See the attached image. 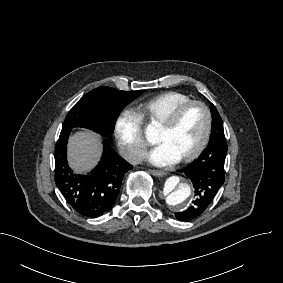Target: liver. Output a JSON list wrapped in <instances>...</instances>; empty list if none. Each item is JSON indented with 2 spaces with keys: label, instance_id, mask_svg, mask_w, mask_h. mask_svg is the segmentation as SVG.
<instances>
[{
  "label": "liver",
  "instance_id": "6515ba94",
  "mask_svg": "<svg viewBox=\"0 0 283 283\" xmlns=\"http://www.w3.org/2000/svg\"><path fill=\"white\" fill-rule=\"evenodd\" d=\"M101 136L90 130L78 131L69 138L68 162L76 172L93 169L102 155Z\"/></svg>",
  "mask_w": 283,
  "mask_h": 283
}]
</instances>
